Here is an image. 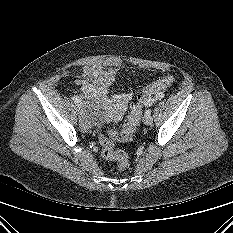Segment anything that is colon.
Returning a JSON list of instances; mask_svg holds the SVG:
<instances>
[{"instance_id":"obj_1","label":"colon","mask_w":233,"mask_h":233,"mask_svg":"<svg viewBox=\"0 0 233 233\" xmlns=\"http://www.w3.org/2000/svg\"><path fill=\"white\" fill-rule=\"evenodd\" d=\"M174 80L173 76L168 75L150 84L138 95L137 100L131 105L123 127L120 130L108 129V135H100L99 141L102 146V156L106 160L115 162L118 171H124L127 168L129 159L124 151L114 148L113 139L123 142L130 141L134 137L141 121L143 107L160 98L162 91L170 87L174 83Z\"/></svg>"}]
</instances>
